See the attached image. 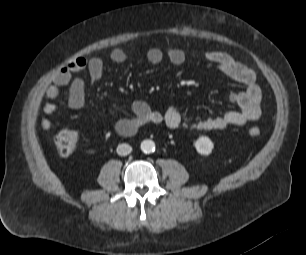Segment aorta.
Masks as SVG:
<instances>
[{
    "label": "aorta",
    "instance_id": "1",
    "mask_svg": "<svg viewBox=\"0 0 306 255\" xmlns=\"http://www.w3.org/2000/svg\"><path fill=\"white\" fill-rule=\"evenodd\" d=\"M155 148L156 146H155L154 141L150 139L143 140L140 145L141 151L145 154L153 153L155 151Z\"/></svg>",
    "mask_w": 306,
    "mask_h": 255
}]
</instances>
